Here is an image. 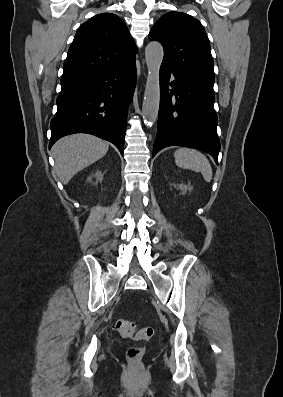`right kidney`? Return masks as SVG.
<instances>
[{
    "label": "right kidney",
    "instance_id": "obj_1",
    "mask_svg": "<svg viewBox=\"0 0 283 397\" xmlns=\"http://www.w3.org/2000/svg\"><path fill=\"white\" fill-rule=\"evenodd\" d=\"M94 177H96V179H97V180H100V181H101V180H102V178H103L102 174H101V173H99V172H98V173H96V174L94 175ZM90 180H91V177H90V178H88V181H90Z\"/></svg>",
    "mask_w": 283,
    "mask_h": 397
}]
</instances>
